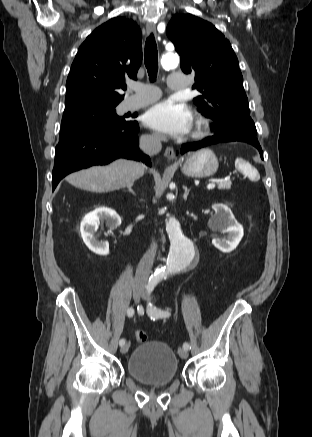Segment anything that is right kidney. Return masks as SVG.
Wrapping results in <instances>:
<instances>
[{
	"instance_id": "obj_1",
	"label": "right kidney",
	"mask_w": 312,
	"mask_h": 437,
	"mask_svg": "<svg viewBox=\"0 0 312 437\" xmlns=\"http://www.w3.org/2000/svg\"><path fill=\"white\" fill-rule=\"evenodd\" d=\"M100 220L106 221V225L110 229H114L121 224V218L113 209L99 207L85 215L81 222L80 231L84 243L92 252L98 255H107L109 253V243L99 242L94 236Z\"/></svg>"
}]
</instances>
